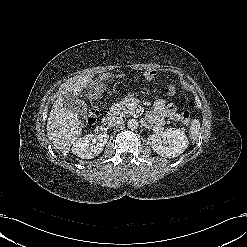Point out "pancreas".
Returning <instances> with one entry per match:
<instances>
[{"label":"pancreas","instance_id":"cf45deb5","mask_svg":"<svg viewBox=\"0 0 247 247\" xmlns=\"http://www.w3.org/2000/svg\"><path fill=\"white\" fill-rule=\"evenodd\" d=\"M138 104L139 100L135 97H125L122 101L114 103L111 107V112L121 117L134 115L135 111L130 108V104Z\"/></svg>","mask_w":247,"mask_h":247}]
</instances>
